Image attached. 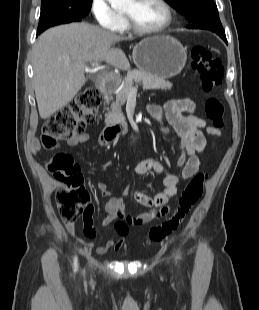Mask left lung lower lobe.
I'll return each mask as SVG.
<instances>
[{
	"label": "left lung lower lobe",
	"instance_id": "left-lung-lower-lobe-1",
	"mask_svg": "<svg viewBox=\"0 0 259 310\" xmlns=\"http://www.w3.org/2000/svg\"><path fill=\"white\" fill-rule=\"evenodd\" d=\"M188 28H191V27L188 26ZM218 35L227 43V39H226V35L225 34L220 33Z\"/></svg>",
	"mask_w": 259,
	"mask_h": 310
}]
</instances>
